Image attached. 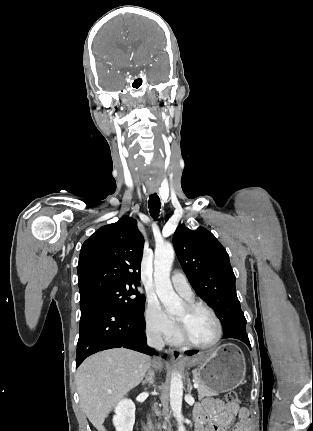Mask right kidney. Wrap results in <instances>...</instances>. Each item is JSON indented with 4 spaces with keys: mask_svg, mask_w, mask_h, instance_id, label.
<instances>
[{
    "mask_svg": "<svg viewBox=\"0 0 313 431\" xmlns=\"http://www.w3.org/2000/svg\"><path fill=\"white\" fill-rule=\"evenodd\" d=\"M135 423V405L130 399H122L115 407L113 424L116 431H133Z\"/></svg>",
    "mask_w": 313,
    "mask_h": 431,
    "instance_id": "1",
    "label": "right kidney"
}]
</instances>
